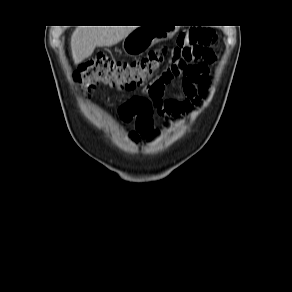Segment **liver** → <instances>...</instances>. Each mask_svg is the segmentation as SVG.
<instances>
[{"instance_id":"1","label":"liver","mask_w":292,"mask_h":292,"mask_svg":"<svg viewBox=\"0 0 292 292\" xmlns=\"http://www.w3.org/2000/svg\"><path fill=\"white\" fill-rule=\"evenodd\" d=\"M134 29V26H79L70 42L74 63L79 64L91 56L96 46H112L120 42Z\"/></svg>"}]
</instances>
